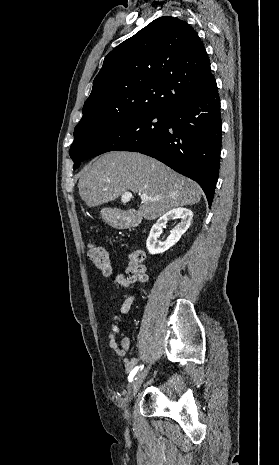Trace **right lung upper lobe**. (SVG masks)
I'll return each mask as SVG.
<instances>
[{"instance_id": "obj_1", "label": "right lung upper lobe", "mask_w": 279, "mask_h": 465, "mask_svg": "<svg viewBox=\"0 0 279 465\" xmlns=\"http://www.w3.org/2000/svg\"><path fill=\"white\" fill-rule=\"evenodd\" d=\"M213 80L194 29L174 17L157 18L105 57L75 128L145 110L166 111L200 95Z\"/></svg>"}]
</instances>
